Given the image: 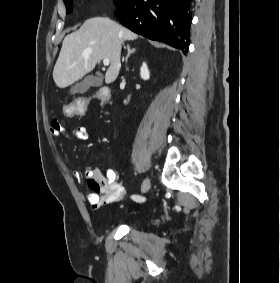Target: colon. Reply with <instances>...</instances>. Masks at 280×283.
I'll list each match as a JSON object with an SVG mask.
<instances>
[{"label":"colon","mask_w":280,"mask_h":283,"mask_svg":"<svg viewBox=\"0 0 280 283\" xmlns=\"http://www.w3.org/2000/svg\"><path fill=\"white\" fill-rule=\"evenodd\" d=\"M109 87H96L95 96L101 100L108 98ZM79 99H73V103H65L62 105L64 119H71L72 116H84L85 108L89 99L83 98L82 94L78 95Z\"/></svg>","instance_id":"5ec220e1"}]
</instances>
